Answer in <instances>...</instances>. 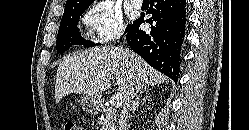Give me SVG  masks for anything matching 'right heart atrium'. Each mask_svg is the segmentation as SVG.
<instances>
[{
  "label": "right heart atrium",
  "mask_w": 249,
  "mask_h": 130,
  "mask_svg": "<svg viewBox=\"0 0 249 130\" xmlns=\"http://www.w3.org/2000/svg\"><path fill=\"white\" fill-rule=\"evenodd\" d=\"M84 24L92 37L100 43H109L117 39L124 30V18L121 11L111 2H97L83 15Z\"/></svg>",
  "instance_id": "obj_1"
}]
</instances>
